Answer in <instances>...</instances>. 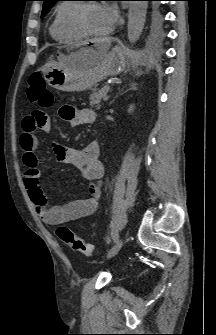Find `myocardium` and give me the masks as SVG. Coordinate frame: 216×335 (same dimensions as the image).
Masks as SVG:
<instances>
[{
  "instance_id": "obj_1",
  "label": "myocardium",
  "mask_w": 216,
  "mask_h": 335,
  "mask_svg": "<svg viewBox=\"0 0 216 335\" xmlns=\"http://www.w3.org/2000/svg\"><path fill=\"white\" fill-rule=\"evenodd\" d=\"M93 5L92 3H86V4H78L73 12L72 15V25L73 27L82 33L84 36L89 37H101L109 33V31H105L103 33H97L91 31L86 23H85V14L87 9Z\"/></svg>"
}]
</instances>
